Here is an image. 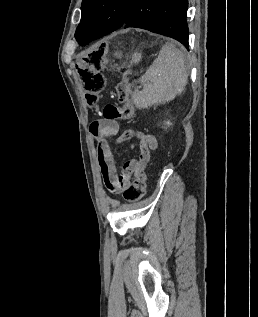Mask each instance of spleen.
I'll list each match as a JSON object with an SVG mask.
<instances>
[{
	"label": "spleen",
	"mask_w": 258,
	"mask_h": 317,
	"mask_svg": "<svg viewBox=\"0 0 258 317\" xmlns=\"http://www.w3.org/2000/svg\"><path fill=\"white\" fill-rule=\"evenodd\" d=\"M143 90L132 94L137 108H148L156 102H169L180 94L187 84L185 56L172 42L163 44L157 58L141 76Z\"/></svg>",
	"instance_id": "obj_1"
}]
</instances>
